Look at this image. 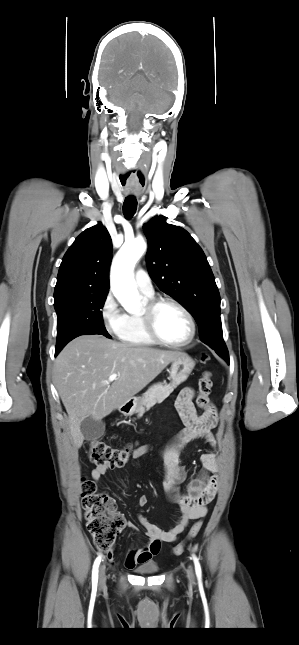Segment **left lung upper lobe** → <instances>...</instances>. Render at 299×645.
<instances>
[{
	"label": "left lung upper lobe",
	"mask_w": 299,
	"mask_h": 645,
	"mask_svg": "<svg viewBox=\"0 0 299 645\" xmlns=\"http://www.w3.org/2000/svg\"><path fill=\"white\" fill-rule=\"evenodd\" d=\"M148 239L146 255L152 280L166 294L183 304L195 318L202 342L224 359L220 294L206 256L183 228L155 216L143 226Z\"/></svg>",
	"instance_id": "obj_1"
}]
</instances>
